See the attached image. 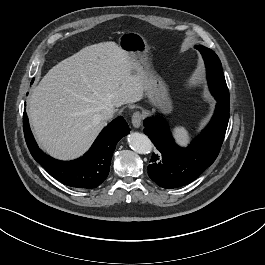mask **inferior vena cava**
I'll use <instances>...</instances> for the list:
<instances>
[{"mask_svg":"<svg viewBox=\"0 0 265 265\" xmlns=\"http://www.w3.org/2000/svg\"><path fill=\"white\" fill-rule=\"evenodd\" d=\"M114 113L115 109L112 107H108L100 112L99 117L101 120H109L113 117Z\"/></svg>","mask_w":265,"mask_h":265,"instance_id":"obj_1","label":"inferior vena cava"}]
</instances>
